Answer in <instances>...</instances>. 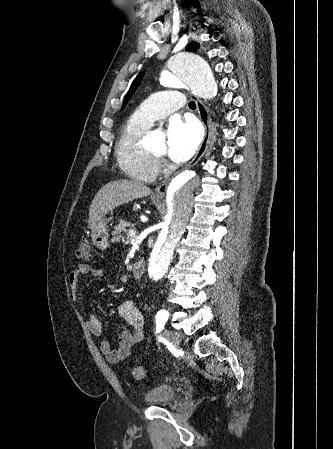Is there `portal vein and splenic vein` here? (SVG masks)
<instances>
[{
  "label": "portal vein and splenic vein",
  "instance_id": "portal-vein-and-splenic-vein-1",
  "mask_svg": "<svg viewBox=\"0 0 333 449\" xmlns=\"http://www.w3.org/2000/svg\"><path fill=\"white\" fill-rule=\"evenodd\" d=\"M128 235H129L131 238H136V231L130 230L129 233H128Z\"/></svg>",
  "mask_w": 333,
  "mask_h": 449
}]
</instances>
